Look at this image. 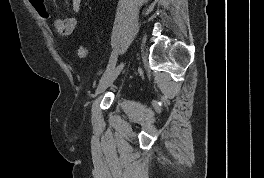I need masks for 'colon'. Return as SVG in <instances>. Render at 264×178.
<instances>
[{"mask_svg": "<svg viewBox=\"0 0 264 178\" xmlns=\"http://www.w3.org/2000/svg\"><path fill=\"white\" fill-rule=\"evenodd\" d=\"M29 3L37 12V14L44 20H50L51 14L46 6L45 0H29ZM76 55L78 58L83 59L87 55V48L81 45L76 50Z\"/></svg>", "mask_w": 264, "mask_h": 178, "instance_id": "1", "label": "colon"}]
</instances>
